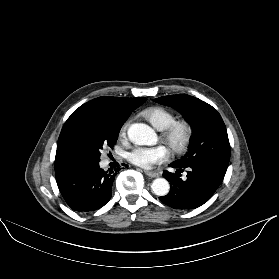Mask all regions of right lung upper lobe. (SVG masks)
<instances>
[{"label":"right lung upper lobe","instance_id":"1","mask_svg":"<svg viewBox=\"0 0 279 279\" xmlns=\"http://www.w3.org/2000/svg\"><path fill=\"white\" fill-rule=\"evenodd\" d=\"M144 97H98L77 108L65 122L57 143L55 169L71 163L67 142L72 131L82 122L94 118L125 119L130 111L145 101Z\"/></svg>","mask_w":279,"mask_h":279}]
</instances>
